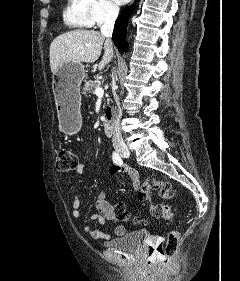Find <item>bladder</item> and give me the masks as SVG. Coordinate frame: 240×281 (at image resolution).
I'll return each instance as SVG.
<instances>
[{"label": "bladder", "instance_id": "bladder-1", "mask_svg": "<svg viewBox=\"0 0 240 281\" xmlns=\"http://www.w3.org/2000/svg\"><path fill=\"white\" fill-rule=\"evenodd\" d=\"M146 233L144 231H132L124 234L123 236L113 238L107 241L105 244L108 247L126 251V252H138L142 249Z\"/></svg>", "mask_w": 240, "mask_h": 281}]
</instances>
